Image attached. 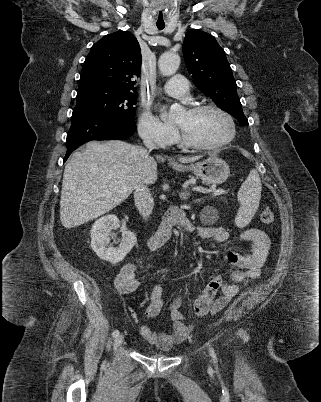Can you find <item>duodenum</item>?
I'll list each match as a JSON object with an SVG mask.
<instances>
[{
	"mask_svg": "<svg viewBox=\"0 0 321 402\" xmlns=\"http://www.w3.org/2000/svg\"><path fill=\"white\" fill-rule=\"evenodd\" d=\"M185 222L186 215L181 209L173 208L169 210L159 230L150 237L148 242L149 248L155 250L166 244L169 241L174 228L179 224H184Z\"/></svg>",
	"mask_w": 321,
	"mask_h": 402,
	"instance_id": "duodenum-1",
	"label": "duodenum"
}]
</instances>
